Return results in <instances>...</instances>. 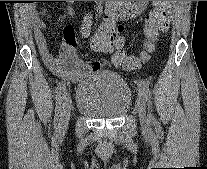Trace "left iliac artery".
<instances>
[{
  "instance_id": "obj_1",
  "label": "left iliac artery",
  "mask_w": 207,
  "mask_h": 169,
  "mask_svg": "<svg viewBox=\"0 0 207 169\" xmlns=\"http://www.w3.org/2000/svg\"><path fill=\"white\" fill-rule=\"evenodd\" d=\"M139 87V92L144 95L148 108L150 109L149 120L153 123L155 122L154 116L151 114V90L149 88L148 83L145 80H139L137 82Z\"/></svg>"
}]
</instances>
